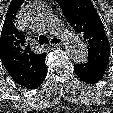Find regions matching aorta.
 Returning <instances> with one entry per match:
<instances>
[{
  "label": "aorta",
  "instance_id": "obj_1",
  "mask_svg": "<svg viewBox=\"0 0 113 113\" xmlns=\"http://www.w3.org/2000/svg\"><path fill=\"white\" fill-rule=\"evenodd\" d=\"M41 19L45 22L47 29L53 34H60L65 40V48L71 60L75 63H85L88 50L86 44L78 34L65 27L53 14L41 12Z\"/></svg>",
  "mask_w": 113,
  "mask_h": 113
}]
</instances>
